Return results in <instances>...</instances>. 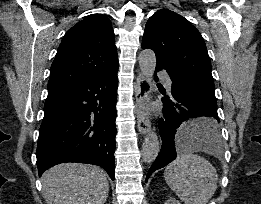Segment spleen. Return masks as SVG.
Here are the masks:
<instances>
[{
    "label": "spleen",
    "mask_w": 261,
    "mask_h": 204,
    "mask_svg": "<svg viewBox=\"0 0 261 204\" xmlns=\"http://www.w3.org/2000/svg\"><path fill=\"white\" fill-rule=\"evenodd\" d=\"M207 120L200 118L183 123L181 132L190 133L194 128ZM219 139L216 141L196 140L190 144L193 149L215 152ZM164 178L170 189L185 204H207L217 189L218 175L214 166L203 157L192 152L180 153L165 169Z\"/></svg>",
    "instance_id": "obj_1"
}]
</instances>
